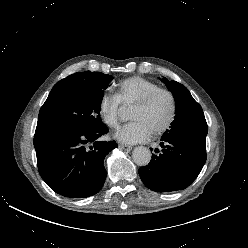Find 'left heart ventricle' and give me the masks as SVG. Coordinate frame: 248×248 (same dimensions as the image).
<instances>
[{"mask_svg":"<svg viewBox=\"0 0 248 248\" xmlns=\"http://www.w3.org/2000/svg\"><path fill=\"white\" fill-rule=\"evenodd\" d=\"M169 112V98L165 94H160L145 108L133 107L131 119L143 121L154 131L166 121Z\"/></svg>","mask_w":248,"mask_h":248,"instance_id":"left-heart-ventricle-1","label":"left heart ventricle"}]
</instances>
